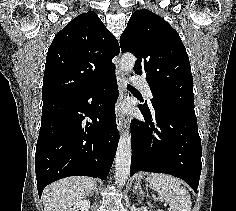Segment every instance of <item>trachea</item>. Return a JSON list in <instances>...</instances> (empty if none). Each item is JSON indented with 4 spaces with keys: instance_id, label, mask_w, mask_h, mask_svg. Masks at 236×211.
I'll list each match as a JSON object with an SVG mask.
<instances>
[{
    "instance_id": "trachea-1",
    "label": "trachea",
    "mask_w": 236,
    "mask_h": 211,
    "mask_svg": "<svg viewBox=\"0 0 236 211\" xmlns=\"http://www.w3.org/2000/svg\"><path fill=\"white\" fill-rule=\"evenodd\" d=\"M128 89H134L132 86L128 85Z\"/></svg>"
}]
</instances>
